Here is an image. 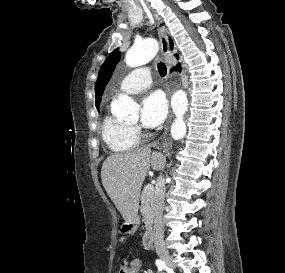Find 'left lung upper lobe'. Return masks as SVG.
Masks as SVG:
<instances>
[{"label": "left lung upper lobe", "mask_w": 285, "mask_h": 273, "mask_svg": "<svg viewBox=\"0 0 285 273\" xmlns=\"http://www.w3.org/2000/svg\"><path fill=\"white\" fill-rule=\"evenodd\" d=\"M119 60H120V53L118 51H114L107 57L106 61L100 68L98 79L97 82L95 83V94H96L95 104L97 109H99V104L105 86L108 83L112 75V72L114 70V67L119 62Z\"/></svg>", "instance_id": "5c2ea615"}]
</instances>
